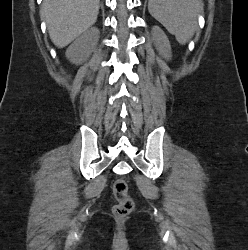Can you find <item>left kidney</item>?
Wrapping results in <instances>:
<instances>
[{"label": "left kidney", "mask_w": 248, "mask_h": 250, "mask_svg": "<svg viewBox=\"0 0 248 250\" xmlns=\"http://www.w3.org/2000/svg\"><path fill=\"white\" fill-rule=\"evenodd\" d=\"M152 35L155 41L156 49L159 51L160 55L167 60L171 59V45L163 30L158 26H154L152 29Z\"/></svg>", "instance_id": "obj_1"}]
</instances>
